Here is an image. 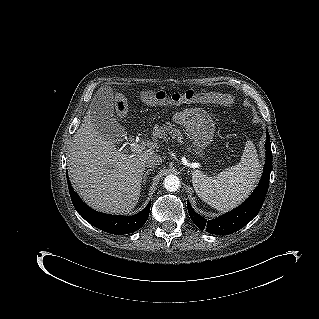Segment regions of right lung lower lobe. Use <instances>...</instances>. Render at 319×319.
Here are the masks:
<instances>
[{
  "label": "right lung lower lobe",
  "mask_w": 319,
  "mask_h": 319,
  "mask_svg": "<svg viewBox=\"0 0 319 319\" xmlns=\"http://www.w3.org/2000/svg\"><path fill=\"white\" fill-rule=\"evenodd\" d=\"M68 188L77 212L93 226L116 235L128 234L140 229L148 219L151 202L144 210L133 216L104 214L87 206L74 192L67 176Z\"/></svg>",
  "instance_id": "obj_1"
}]
</instances>
